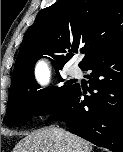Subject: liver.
<instances>
[{
  "instance_id": "obj_1",
  "label": "liver",
  "mask_w": 123,
  "mask_h": 152,
  "mask_svg": "<svg viewBox=\"0 0 123 152\" xmlns=\"http://www.w3.org/2000/svg\"><path fill=\"white\" fill-rule=\"evenodd\" d=\"M91 151L92 145L89 142L56 127L43 128L28 134L13 149V152Z\"/></svg>"
}]
</instances>
